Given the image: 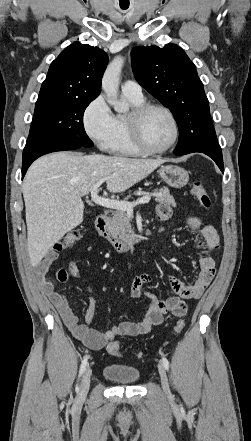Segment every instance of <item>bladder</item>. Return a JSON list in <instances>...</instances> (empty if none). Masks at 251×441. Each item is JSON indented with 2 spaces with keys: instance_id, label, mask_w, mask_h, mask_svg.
<instances>
[{
  "instance_id": "1",
  "label": "bladder",
  "mask_w": 251,
  "mask_h": 441,
  "mask_svg": "<svg viewBox=\"0 0 251 441\" xmlns=\"http://www.w3.org/2000/svg\"><path fill=\"white\" fill-rule=\"evenodd\" d=\"M102 374L105 379L121 385H134L141 378V373L137 368L119 364L105 366Z\"/></svg>"
}]
</instances>
